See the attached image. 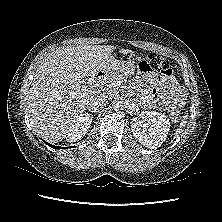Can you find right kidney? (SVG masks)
<instances>
[{"label": "right kidney", "mask_w": 222, "mask_h": 222, "mask_svg": "<svg viewBox=\"0 0 222 222\" xmlns=\"http://www.w3.org/2000/svg\"><path fill=\"white\" fill-rule=\"evenodd\" d=\"M93 116L81 114L76 116L65 130V138L68 142H75L82 139L88 132Z\"/></svg>", "instance_id": "ca27d5eb"}]
</instances>
